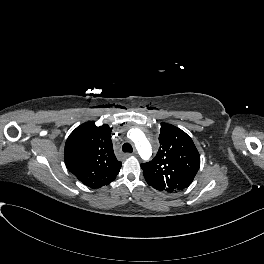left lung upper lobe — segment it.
Returning a JSON list of instances; mask_svg holds the SVG:
<instances>
[{
	"mask_svg": "<svg viewBox=\"0 0 264 264\" xmlns=\"http://www.w3.org/2000/svg\"><path fill=\"white\" fill-rule=\"evenodd\" d=\"M160 147L150 162L141 164L148 185L162 192H179L193 181L200 155L192 139L181 129L161 123Z\"/></svg>",
	"mask_w": 264,
	"mask_h": 264,
	"instance_id": "5c2ea615",
	"label": "left lung upper lobe"
}]
</instances>
